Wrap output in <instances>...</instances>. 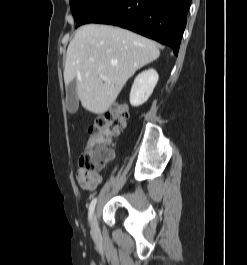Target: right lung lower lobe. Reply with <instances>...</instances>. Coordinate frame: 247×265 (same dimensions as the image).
Here are the masks:
<instances>
[{
  "label": "right lung lower lobe",
  "mask_w": 247,
  "mask_h": 265,
  "mask_svg": "<svg viewBox=\"0 0 247 265\" xmlns=\"http://www.w3.org/2000/svg\"><path fill=\"white\" fill-rule=\"evenodd\" d=\"M191 0H98L78 21L120 26L172 47L178 55Z\"/></svg>",
  "instance_id": "1"
}]
</instances>
